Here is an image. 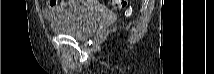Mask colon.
I'll return each mask as SVG.
<instances>
[{"label": "colon", "instance_id": "1", "mask_svg": "<svg viewBox=\"0 0 214 74\" xmlns=\"http://www.w3.org/2000/svg\"><path fill=\"white\" fill-rule=\"evenodd\" d=\"M55 1H51V3H54ZM110 3L115 7L122 9L126 6L127 1L126 0H112Z\"/></svg>", "mask_w": 214, "mask_h": 74}]
</instances>
